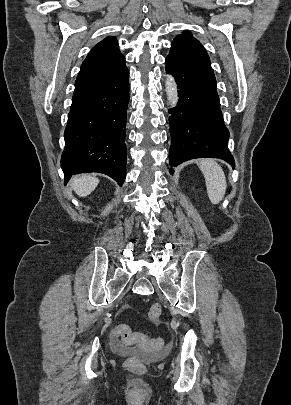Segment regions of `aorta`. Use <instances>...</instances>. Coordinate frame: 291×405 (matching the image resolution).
<instances>
[{"mask_svg":"<svg viewBox=\"0 0 291 405\" xmlns=\"http://www.w3.org/2000/svg\"><path fill=\"white\" fill-rule=\"evenodd\" d=\"M165 91L170 105L175 107L178 102V90L175 78L170 74L166 75Z\"/></svg>","mask_w":291,"mask_h":405,"instance_id":"aorta-1","label":"aorta"}]
</instances>
